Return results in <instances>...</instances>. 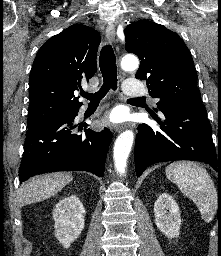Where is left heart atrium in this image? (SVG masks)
Listing matches in <instances>:
<instances>
[{"instance_id": "left-heart-atrium-1", "label": "left heart atrium", "mask_w": 221, "mask_h": 256, "mask_svg": "<svg viewBox=\"0 0 221 256\" xmlns=\"http://www.w3.org/2000/svg\"><path fill=\"white\" fill-rule=\"evenodd\" d=\"M122 118H123V117H122V114H121L120 112H118V111L112 113V115L110 116V120H111L112 122H118V121H120Z\"/></svg>"}]
</instances>
